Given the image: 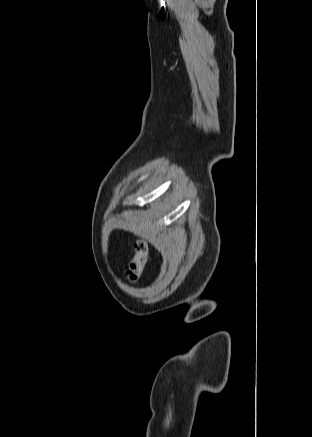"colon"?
Masks as SVG:
<instances>
[{"instance_id":"5ec220e1","label":"colon","mask_w":312,"mask_h":437,"mask_svg":"<svg viewBox=\"0 0 312 437\" xmlns=\"http://www.w3.org/2000/svg\"><path fill=\"white\" fill-rule=\"evenodd\" d=\"M148 245L143 238L135 242V256L126 269L124 276L131 282H136L148 261Z\"/></svg>"}]
</instances>
